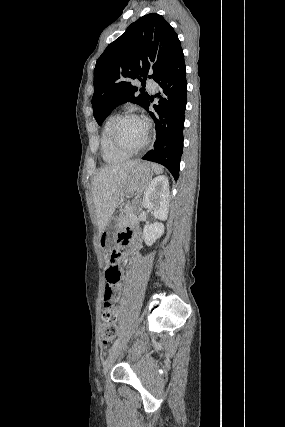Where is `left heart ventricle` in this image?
Wrapping results in <instances>:
<instances>
[{"label":"left heart ventricle","instance_id":"left-heart-ventricle-1","mask_svg":"<svg viewBox=\"0 0 285 427\" xmlns=\"http://www.w3.org/2000/svg\"><path fill=\"white\" fill-rule=\"evenodd\" d=\"M118 136L124 145L135 148L143 142L146 136V126L139 119H126L119 126Z\"/></svg>","mask_w":285,"mask_h":427}]
</instances>
